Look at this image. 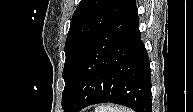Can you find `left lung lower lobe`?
I'll return each mask as SVG.
<instances>
[{
  "instance_id": "0a47b994",
  "label": "left lung lower lobe",
  "mask_w": 193,
  "mask_h": 112,
  "mask_svg": "<svg viewBox=\"0 0 193 112\" xmlns=\"http://www.w3.org/2000/svg\"><path fill=\"white\" fill-rule=\"evenodd\" d=\"M115 103L151 112V69L139 31L135 0L94 40L66 88L64 112Z\"/></svg>"
}]
</instances>
